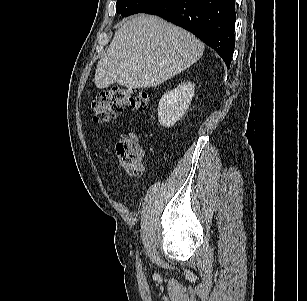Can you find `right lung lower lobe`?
Masks as SVG:
<instances>
[{
  "instance_id": "1",
  "label": "right lung lower lobe",
  "mask_w": 307,
  "mask_h": 301,
  "mask_svg": "<svg viewBox=\"0 0 307 301\" xmlns=\"http://www.w3.org/2000/svg\"><path fill=\"white\" fill-rule=\"evenodd\" d=\"M142 12L192 32L230 66L235 47V0H159Z\"/></svg>"
}]
</instances>
